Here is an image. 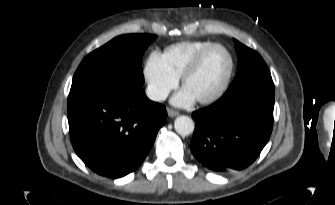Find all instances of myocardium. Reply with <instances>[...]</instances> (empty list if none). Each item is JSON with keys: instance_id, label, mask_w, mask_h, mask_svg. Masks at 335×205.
Returning <instances> with one entry per match:
<instances>
[{"instance_id": "1", "label": "myocardium", "mask_w": 335, "mask_h": 205, "mask_svg": "<svg viewBox=\"0 0 335 205\" xmlns=\"http://www.w3.org/2000/svg\"><path fill=\"white\" fill-rule=\"evenodd\" d=\"M223 49L230 60V67H229V71L224 79V81L222 82V84L218 87V89L213 92L211 95L204 97V98H200V99H196L198 103L200 104H211L215 101H217L218 99H220L224 93L226 92V90L228 89L231 80L234 76L235 73V58L233 53L231 52V50L220 43H213L207 47H205L204 49H202L194 58L193 60L190 62V64L185 68V70L183 71L182 75H181V83L182 86H185L186 81L189 79V77H191L201 66L204 58L206 57V55L214 50V49Z\"/></svg>"}]
</instances>
